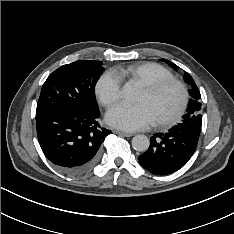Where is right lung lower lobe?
I'll list each match as a JSON object with an SVG mask.
<instances>
[{
	"mask_svg": "<svg viewBox=\"0 0 234 234\" xmlns=\"http://www.w3.org/2000/svg\"><path fill=\"white\" fill-rule=\"evenodd\" d=\"M99 111L86 113L58 107L36 113L37 135L45 156L65 173L88 171L110 130L101 128Z\"/></svg>",
	"mask_w": 234,
	"mask_h": 234,
	"instance_id": "98d812e1",
	"label": "right lung lower lobe"
}]
</instances>
